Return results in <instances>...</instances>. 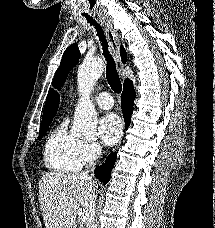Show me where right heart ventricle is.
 <instances>
[{"label":"right heart ventricle","instance_id":"right-heart-ventricle-1","mask_svg":"<svg viewBox=\"0 0 215 228\" xmlns=\"http://www.w3.org/2000/svg\"><path fill=\"white\" fill-rule=\"evenodd\" d=\"M83 142L68 129V120H61L48 134L43 159L51 172L65 174L78 171L82 166Z\"/></svg>","mask_w":215,"mask_h":228}]
</instances>
